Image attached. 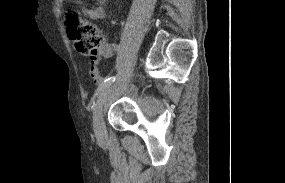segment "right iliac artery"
Listing matches in <instances>:
<instances>
[{"label":"right iliac artery","instance_id":"obj_1","mask_svg":"<svg viewBox=\"0 0 285 183\" xmlns=\"http://www.w3.org/2000/svg\"><path fill=\"white\" fill-rule=\"evenodd\" d=\"M115 79H116V77L113 76V77H110V78L104 80V82L101 83V84L99 85V87L97 88V90H96V92H95V94H94V98H96V97L100 94V92H101L106 86L112 84V83L115 81Z\"/></svg>","mask_w":285,"mask_h":183}]
</instances>
